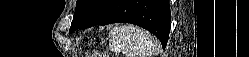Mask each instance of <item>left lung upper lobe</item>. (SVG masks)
Masks as SVG:
<instances>
[{
    "instance_id": "5c2ea615",
    "label": "left lung upper lobe",
    "mask_w": 249,
    "mask_h": 57,
    "mask_svg": "<svg viewBox=\"0 0 249 57\" xmlns=\"http://www.w3.org/2000/svg\"><path fill=\"white\" fill-rule=\"evenodd\" d=\"M108 0H77L71 31L94 16Z\"/></svg>"
}]
</instances>
